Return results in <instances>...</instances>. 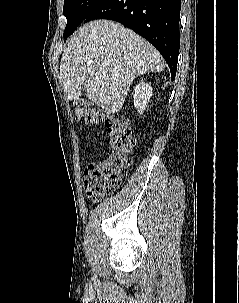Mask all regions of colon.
<instances>
[{"label": "colon", "mask_w": 239, "mask_h": 303, "mask_svg": "<svg viewBox=\"0 0 239 303\" xmlns=\"http://www.w3.org/2000/svg\"><path fill=\"white\" fill-rule=\"evenodd\" d=\"M76 117L89 124L104 122L108 135L110 154L89 162L84 171L83 186L86 196L99 201L114 192L132 165L134 132L123 117L105 115L98 108L80 101L76 104Z\"/></svg>", "instance_id": "colon-1"}]
</instances>
